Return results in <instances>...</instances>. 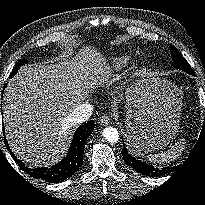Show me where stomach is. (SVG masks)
<instances>
[{
	"instance_id": "obj_1",
	"label": "stomach",
	"mask_w": 205,
	"mask_h": 205,
	"mask_svg": "<svg viewBox=\"0 0 205 205\" xmlns=\"http://www.w3.org/2000/svg\"><path fill=\"white\" fill-rule=\"evenodd\" d=\"M182 101L174 85L136 77L127 91L126 135L138 152L162 149L177 135Z\"/></svg>"
}]
</instances>
